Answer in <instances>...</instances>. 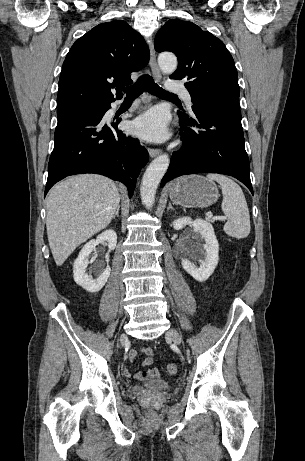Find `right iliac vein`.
Returning <instances> with one entry per match:
<instances>
[{"label":"right iliac vein","instance_id":"1","mask_svg":"<svg viewBox=\"0 0 305 461\" xmlns=\"http://www.w3.org/2000/svg\"><path fill=\"white\" fill-rule=\"evenodd\" d=\"M127 340H128L127 335L125 333H122L121 336H120V342L123 344Z\"/></svg>","mask_w":305,"mask_h":461}]
</instances>
